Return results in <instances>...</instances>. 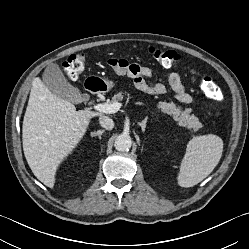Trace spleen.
<instances>
[{"label": "spleen", "mask_w": 249, "mask_h": 249, "mask_svg": "<svg viewBox=\"0 0 249 249\" xmlns=\"http://www.w3.org/2000/svg\"><path fill=\"white\" fill-rule=\"evenodd\" d=\"M223 152L222 139L213 134L196 136L187 144L178 175V184L192 187L204 180L217 166Z\"/></svg>", "instance_id": "spleen-1"}]
</instances>
